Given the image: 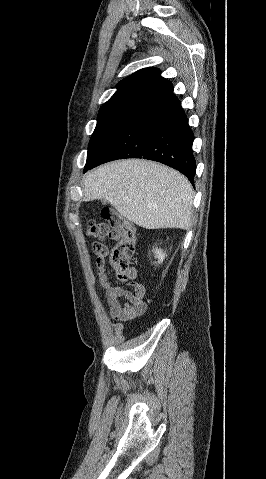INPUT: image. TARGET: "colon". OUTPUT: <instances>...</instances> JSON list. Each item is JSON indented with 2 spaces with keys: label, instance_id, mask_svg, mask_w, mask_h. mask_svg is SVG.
<instances>
[{
  "label": "colon",
  "instance_id": "5ec220e1",
  "mask_svg": "<svg viewBox=\"0 0 266 479\" xmlns=\"http://www.w3.org/2000/svg\"><path fill=\"white\" fill-rule=\"evenodd\" d=\"M102 217L106 220L112 232L117 234L116 244L109 250L100 241L93 243V252L96 257H107L113 269L115 278L120 282H127L133 275V257L136 246V230L132 224L126 221L115 211L105 208L102 210ZM108 227L103 223L89 221L88 232L96 237H105Z\"/></svg>",
  "mask_w": 266,
  "mask_h": 479
}]
</instances>
